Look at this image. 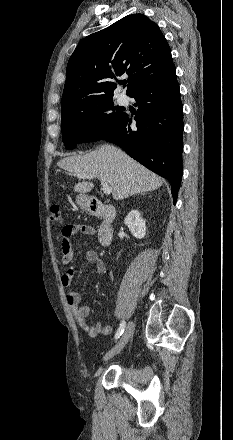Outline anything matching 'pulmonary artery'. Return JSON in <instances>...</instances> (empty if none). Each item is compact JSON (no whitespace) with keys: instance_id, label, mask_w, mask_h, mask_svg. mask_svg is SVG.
<instances>
[{"instance_id":"1","label":"pulmonary artery","mask_w":233,"mask_h":440,"mask_svg":"<svg viewBox=\"0 0 233 440\" xmlns=\"http://www.w3.org/2000/svg\"><path fill=\"white\" fill-rule=\"evenodd\" d=\"M120 99H121L122 101H124V96H122Z\"/></svg>"}]
</instances>
